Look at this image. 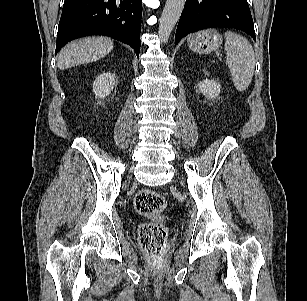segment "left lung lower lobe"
I'll list each match as a JSON object with an SVG mask.
<instances>
[{"mask_svg":"<svg viewBox=\"0 0 307 301\" xmlns=\"http://www.w3.org/2000/svg\"><path fill=\"white\" fill-rule=\"evenodd\" d=\"M211 27L240 29L256 41L247 0H186L177 26L175 43L189 33Z\"/></svg>","mask_w":307,"mask_h":301,"instance_id":"1","label":"left lung lower lobe"}]
</instances>
